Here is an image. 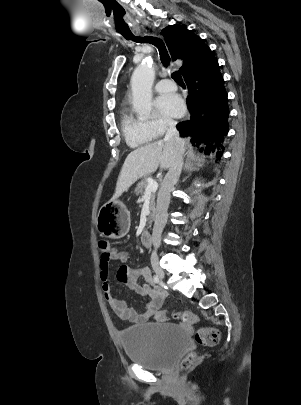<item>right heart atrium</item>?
Masks as SVG:
<instances>
[{"instance_id":"d8ad5b80","label":"right heart atrium","mask_w":301,"mask_h":405,"mask_svg":"<svg viewBox=\"0 0 301 405\" xmlns=\"http://www.w3.org/2000/svg\"><path fill=\"white\" fill-rule=\"evenodd\" d=\"M147 125L155 136H159L173 125V121L168 117L159 116L153 120L147 121Z\"/></svg>"}]
</instances>
